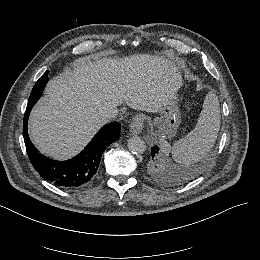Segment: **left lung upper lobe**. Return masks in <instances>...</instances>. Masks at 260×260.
Segmentation results:
<instances>
[{"instance_id": "1", "label": "left lung upper lobe", "mask_w": 260, "mask_h": 260, "mask_svg": "<svg viewBox=\"0 0 260 260\" xmlns=\"http://www.w3.org/2000/svg\"><path fill=\"white\" fill-rule=\"evenodd\" d=\"M151 156H152V160L154 158V154L152 153V150H151ZM151 168V172L152 174H154L156 177H158V179H161V180H168V177H166L164 174L160 173V172H157L153 169V167H150Z\"/></svg>"}]
</instances>
